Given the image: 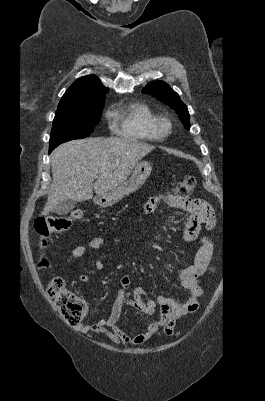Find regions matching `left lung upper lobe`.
Returning <instances> with one entry per match:
<instances>
[{"mask_svg": "<svg viewBox=\"0 0 265 401\" xmlns=\"http://www.w3.org/2000/svg\"><path fill=\"white\" fill-rule=\"evenodd\" d=\"M145 94H150L158 100L175 109L180 120L183 122L186 129H189V112L186 105L180 100V97L174 92L167 83L163 81H153L149 83L142 91Z\"/></svg>", "mask_w": 265, "mask_h": 401, "instance_id": "left-lung-upper-lobe-1", "label": "left lung upper lobe"}]
</instances>
